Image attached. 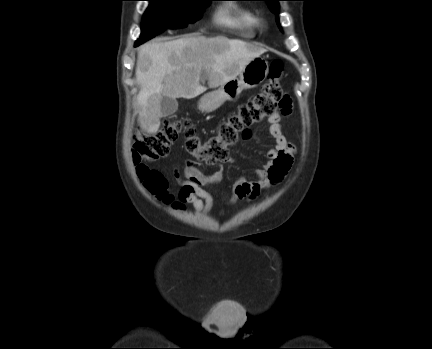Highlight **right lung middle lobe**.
I'll list each match as a JSON object with an SVG mask.
<instances>
[{
    "instance_id": "right-lung-middle-lobe-1",
    "label": "right lung middle lobe",
    "mask_w": 432,
    "mask_h": 349,
    "mask_svg": "<svg viewBox=\"0 0 432 349\" xmlns=\"http://www.w3.org/2000/svg\"><path fill=\"white\" fill-rule=\"evenodd\" d=\"M150 2L141 25V36L135 46L167 28L185 27L202 17L207 1L211 0H147Z\"/></svg>"
}]
</instances>
